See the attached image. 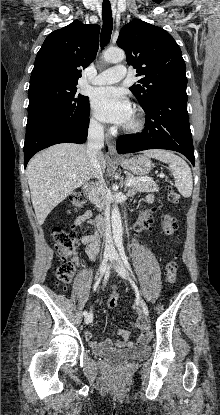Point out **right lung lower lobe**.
<instances>
[{
  "label": "right lung lower lobe",
  "instance_id": "right-lung-lower-lobe-1",
  "mask_svg": "<svg viewBox=\"0 0 220 415\" xmlns=\"http://www.w3.org/2000/svg\"><path fill=\"white\" fill-rule=\"evenodd\" d=\"M89 126V108L77 121H65L59 116L47 118L26 129L24 166L38 151L58 143H84Z\"/></svg>",
  "mask_w": 220,
  "mask_h": 415
}]
</instances>
